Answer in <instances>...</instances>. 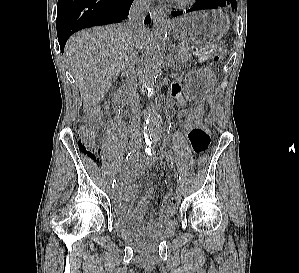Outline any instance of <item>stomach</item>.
Wrapping results in <instances>:
<instances>
[{"label": "stomach", "mask_w": 299, "mask_h": 273, "mask_svg": "<svg viewBox=\"0 0 299 273\" xmlns=\"http://www.w3.org/2000/svg\"><path fill=\"white\" fill-rule=\"evenodd\" d=\"M230 27L229 17L221 10L199 11L173 20L169 29L175 39L183 43L204 44L216 41ZM213 69H198L187 75L189 101L203 100L209 90Z\"/></svg>", "instance_id": "stomach-1"}]
</instances>
